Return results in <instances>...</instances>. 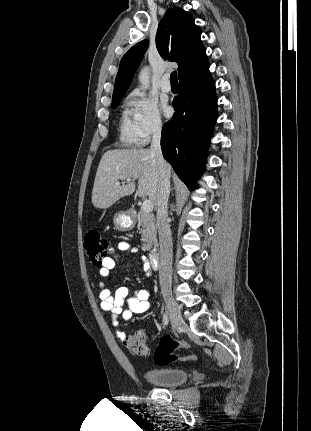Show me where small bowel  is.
I'll return each instance as SVG.
<instances>
[{"mask_svg":"<svg viewBox=\"0 0 311 431\" xmlns=\"http://www.w3.org/2000/svg\"><path fill=\"white\" fill-rule=\"evenodd\" d=\"M117 248L120 251H130L137 253L138 249L131 246L127 242H119ZM119 257L114 250L103 260L102 266L99 270L101 276L106 277L118 265ZM137 264L142 266L146 272L150 271L145 256H140ZM100 307L103 311L111 312L113 320V327L116 329L117 335L120 339H125V334L120 330L119 317L122 320H129L134 314H142L147 312L151 307L150 292L145 289H138L130 292L127 287H119L114 294L106 287L104 283L100 284Z\"/></svg>","mask_w":311,"mask_h":431,"instance_id":"c3829d8e","label":"small bowel"}]
</instances>
